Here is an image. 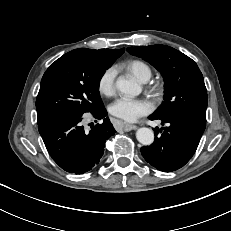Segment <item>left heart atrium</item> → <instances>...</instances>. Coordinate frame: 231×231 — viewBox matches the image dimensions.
Segmentation results:
<instances>
[{"instance_id":"left-heart-atrium-1","label":"left heart atrium","mask_w":231,"mask_h":231,"mask_svg":"<svg viewBox=\"0 0 231 231\" xmlns=\"http://www.w3.org/2000/svg\"><path fill=\"white\" fill-rule=\"evenodd\" d=\"M152 109L153 105L149 101L122 96L111 104L109 111L117 118L134 121L150 113Z\"/></svg>"}]
</instances>
